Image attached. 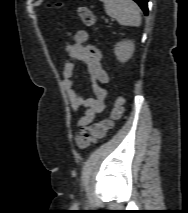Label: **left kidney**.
Masks as SVG:
<instances>
[{
    "label": "left kidney",
    "mask_w": 188,
    "mask_h": 213,
    "mask_svg": "<svg viewBox=\"0 0 188 213\" xmlns=\"http://www.w3.org/2000/svg\"><path fill=\"white\" fill-rule=\"evenodd\" d=\"M134 49L133 41L123 40L115 45L114 53L120 62L125 63L132 57Z\"/></svg>",
    "instance_id": "left-kidney-1"
}]
</instances>
